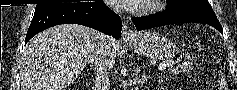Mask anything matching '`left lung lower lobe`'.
<instances>
[{
	"label": "left lung lower lobe",
	"instance_id": "left-lung-lower-lobe-1",
	"mask_svg": "<svg viewBox=\"0 0 237 90\" xmlns=\"http://www.w3.org/2000/svg\"><path fill=\"white\" fill-rule=\"evenodd\" d=\"M132 22L135 24L137 30H144L174 23H204L213 26L223 34L222 26L216 15L190 10L168 9L151 16L132 18Z\"/></svg>",
	"mask_w": 237,
	"mask_h": 90
}]
</instances>
